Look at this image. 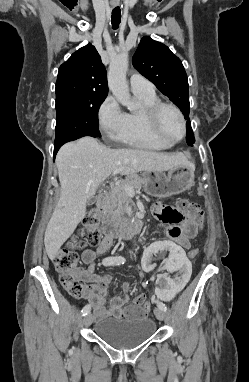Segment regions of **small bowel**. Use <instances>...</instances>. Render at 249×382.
I'll use <instances>...</instances> for the list:
<instances>
[{
	"label": "small bowel",
	"instance_id": "obj_1",
	"mask_svg": "<svg viewBox=\"0 0 249 382\" xmlns=\"http://www.w3.org/2000/svg\"><path fill=\"white\" fill-rule=\"evenodd\" d=\"M169 211V216L165 212ZM154 216L161 222L167 223V237L175 240L178 245H182V250L190 247V240L196 237L200 223L192 217L184 216L178 210L168 207L162 203H156L152 207ZM114 238L105 236L102 243L95 249H86L82 253V262L88 265V269H77V273L86 284L84 298L93 306L94 316L98 319L116 318H145L150 310V306L142 307L137 305L128 306L130 295L128 293L130 284L124 282L122 288L124 294L120 297H113L108 309L105 308V295L108 286L112 282L111 274L95 273V260L98 256L108 251ZM151 281V280H150ZM149 281V282H150ZM149 282H144L147 286Z\"/></svg>",
	"mask_w": 249,
	"mask_h": 382
}]
</instances>
